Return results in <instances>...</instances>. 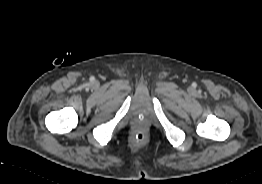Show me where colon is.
I'll return each mask as SVG.
<instances>
[{"label": "colon", "mask_w": 262, "mask_h": 184, "mask_svg": "<svg viewBox=\"0 0 262 184\" xmlns=\"http://www.w3.org/2000/svg\"><path fill=\"white\" fill-rule=\"evenodd\" d=\"M134 138L137 142H142L145 140V134L141 131H138L134 134Z\"/></svg>", "instance_id": "1"}]
</instances>
